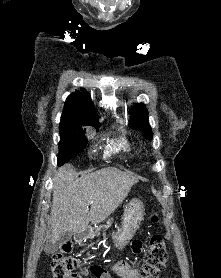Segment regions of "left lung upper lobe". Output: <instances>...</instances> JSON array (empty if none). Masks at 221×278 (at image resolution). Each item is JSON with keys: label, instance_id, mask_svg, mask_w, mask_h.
<instances>
[{"label": "left lung upper lobe", "instance_id": "obj_1", "mask_svg": "<svg viewBox=\"0 0 221 278\" xmlns=\"http://www.w3.org/2000/svg\"><path fill=\"white\" fill-rule=\"evenodd\" d=\"M129 125L142 131V134L147 139L153 138L151 127L148 122V114L143 104H138L132 109Z\"/></svg>", "mask_w": 221, "mask_h": 278}]
</instances>
